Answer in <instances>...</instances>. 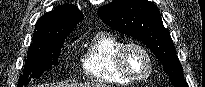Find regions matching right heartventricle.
<instances>
[{"label": "right heart ventricle", "mask_w": 205, "mask_h": 87, "mask_svg": "<svg viewBox=\"0 0 205 87\" xmlns=\"http://www.w3.org/2000/svg\"><path fill=\"white\" fill-rule=\"evenodd\" d=\"M123 41L109 32L95 34L85 46L82 57V68L89 80L101 84L128 85L116 69L114 56Z\"/></svg>", "instance_id": "e07e8e85"}]
</instances>
